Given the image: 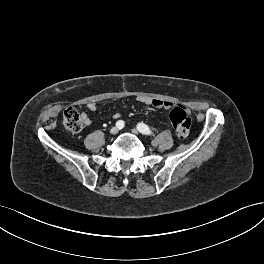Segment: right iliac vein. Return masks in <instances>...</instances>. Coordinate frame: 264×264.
Wrapping results in <instances>:
<instances>
[{"label": "right iliac vein", "mask_w": 264, "mask_h": 264, "mask_svg": "<svg viewBox=\"0 0 264 264\" xmlns=\"http://www.w3.org/2000/svg\"><path fill=\"white\" fill-rule=\"evenodd\" d=\"M119 132V128L118 127H112L111 130H110V133L115 135Z\"/></svg>", "instance_id": "1"}]
</instances>
